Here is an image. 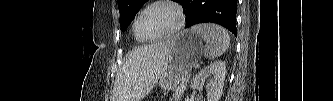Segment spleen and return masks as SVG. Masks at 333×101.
Listing matches in <instances>:
<instances>
[{
    "instance_id": "obj_1",
    "label": "spleen",
    "mask_w": 333,
    "mask_h": 101,
    "mask_svg": "<svg viewBox=\"0 0 333 101\" xmlns=\"http://www.w3.org/2000/svg\"><path fill=\"white\" fill-rule=\"evenodd\" d=\"M191 30L199 33L206 42L204 56L208 59L213 60L221 56L229 48L230 36L227 30L219 25L199 24L193 26Z\"/></svg>"
}]
</instances>
